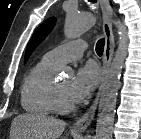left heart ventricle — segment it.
Segmentation results:
<instances>
[{"label": "left heart ventricle", "mask_w": 141, "mask_h": 139, "mask_svg": "<svg viewBox=\"0 0 141 139\" xmlns=\"http://www.w3.org/2000/svg\"><path fill=\"white\" fill-rule=\"evenodd\" d=\"M71 82H72L71 78H66L56 83V85L58 86L61 92L63 99L69 103H73V101L71 100L69 96V89H70Z\"/></svg>", "instance_id": "1"}]
</instances>
